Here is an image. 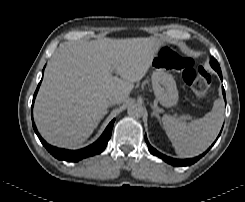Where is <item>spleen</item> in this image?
<instances>
[{"label": "spleen", "mask_w": 245, "mask_h": 202, "mask_svg": "<svg viewBox=\"0 0 245 202\" xmlns=\"http://www.w3.org/2000/svg\"><path fill=\"white\" fill-rule=\"evenodd\" d=\"M224 120V104L221 99L204 117L186 123L170 115L162 117L163 129L171 141L176 154L187 158L199 155L215 140Z\"/></svg>", "instance_id": "1"}]
</instances>
